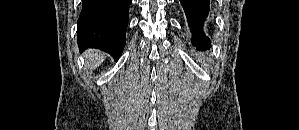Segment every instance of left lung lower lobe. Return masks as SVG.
Segmentation results:
<instances>
[{
    "label": "left lung lower lobe",
    "instance_id": "obj_1",
    "mask_svg": "<svg viewBox=\"0 0 299 130\" xmlns=\"http://www.w3.org/2000/svg\"><path fill=\"white\" fill-rule=\"evenodd\" d=\"M186 13L190 30L193 34L192 43L197 49L210 48L211 41L204 34L202 27L209 13V0H180Z\"/></svg>",
    "mask_w": 299,
    "mask_h": 130
}]
</instances>
